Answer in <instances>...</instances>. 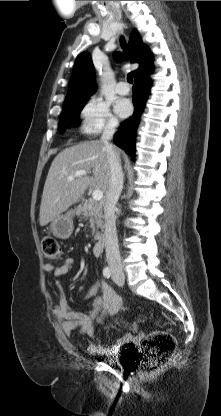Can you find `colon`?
I'll return each mask as SVG.
<instances>
[{
    "label": "colon",
    "instance_id": "colon-1",
    "mask_svg": "<svg viewBox=\"0 0 221 416\" xmlns=\"http://www.w3.org/2000/svg\"><path fill=\"white\" fill-rule=\"evenodd\" d=\"M42 251L46 259L56 260L61 255L58 241L51 236L42 239ZM176 348L175 337L166 330L150 332L142 342L143 368L154 371L171 356Z\"/></svg>",
    "mask_w": 221,
    "mask_h": 416
}]
</instances>
